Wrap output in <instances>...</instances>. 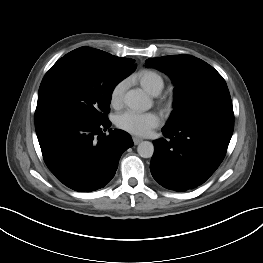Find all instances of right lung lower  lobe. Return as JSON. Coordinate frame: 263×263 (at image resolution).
Wrapping results in <instances>:
<instances>
[{
  "label": "right lung lower lobe",
  "mask_w": 263,
  "mask_h": 263,
  "mask_svg": "<svg viewBox=\"0 0 263 263\" xmlns=\"http://www.w3.org/2000/svg\"><path fill=\"white\" fill-rule=\"evenodd\" d=\"M109 120L85 122L53 118L35 124L44 161L67 187L81 192L103 188L114 177L121 155L133 146L122 130H109Z\"/></svg>",
  "instance_id": "1"
}]
</instances>
